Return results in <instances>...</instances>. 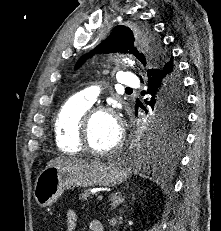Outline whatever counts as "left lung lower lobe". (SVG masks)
I'll return each mask as SVG.
<instances>
[{"label": "left lung lower lobe", "mask_w": 221, "mask_h": 231, "mask_svg": "<svg viewBox=\"0 0 221 231\" xmlns=\"http://www.w3.org/2000/svg\"><path fill=\"white\" fill-rule=\"evenodd\" d=\"M148 89L150 100L145 102L161 115L170 112L183 92V83L173 57H168L162 65L148 70ZM180 142H168L158 135L149 134L144 146L136 151V158H149L156 156L166 146H177Z\"/></svg>", "instance_id": "0a47b994"}]
</instances>
